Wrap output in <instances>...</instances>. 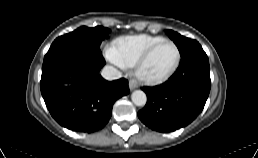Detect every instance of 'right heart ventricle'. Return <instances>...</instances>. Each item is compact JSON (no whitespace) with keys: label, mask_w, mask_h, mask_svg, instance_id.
I'll use <instances>...</instances> for the list:
<instances>
[{"label":"right heart ventricle","mask_w":258,"mask_h":158,"mask_svg":"<svg viewBox=\"0 0 258 158\" xmlns=\"http://www.w3.org/2000/svg\"><path fill=\"white\" fill-rule=\"evenodd\" d=\"M162 39L147 35L130 36L118 40L113 48L126 67H133L150 47Z\"/></svg>","instance_id":"right-heart-ventricle-1"}]
</instances>
